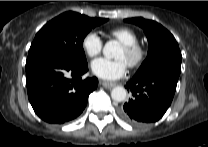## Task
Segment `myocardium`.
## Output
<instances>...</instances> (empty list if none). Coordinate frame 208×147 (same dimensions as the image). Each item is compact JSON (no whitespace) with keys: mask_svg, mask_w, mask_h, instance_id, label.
I'll return each mask as SVG.
<instances>
[{"mask_svg":"<svg viewBox=\"0 0 208 147\" xmlns=\"http://www.w3.org/2000/svg\"><path fill=\"white\" fill-rule=\"evenodd\" d=\"M122 47L131 58L128 63L130 68H137L145 61L147 51L144 46L136 42L133 44H123Z\"/></svg>","mask_w":208,"mask_h":147,"instance_id":"obj_1","label":"myocardium"}]
</instances>
